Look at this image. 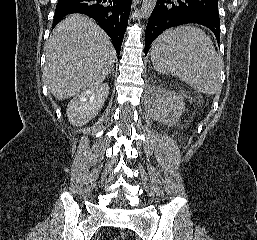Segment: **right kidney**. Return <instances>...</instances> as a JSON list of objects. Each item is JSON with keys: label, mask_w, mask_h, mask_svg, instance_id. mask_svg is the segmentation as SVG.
<instances>
[{"label": "right kidney", "mask_w": 257, "mask_h": 240, "mask_svg": "<svg viewBox=\"0 0 257 240\" xmlns=\"http://www.w3.org/2000/svg\"><path fill=\"white\" fill-rule=\"evenodd\" d=\"M109 86L102 83L77 94L67 105V117L72 125L82 126L95 118L109 94Z\"/></svg>", "instance_id": "obj_1"}]
</instances>
